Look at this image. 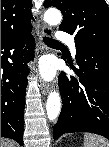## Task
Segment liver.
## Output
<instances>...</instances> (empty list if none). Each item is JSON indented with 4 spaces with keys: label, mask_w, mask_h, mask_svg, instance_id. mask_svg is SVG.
Returning <instances> with one entry per match:
<instances>
[{
    "label": "liver",
    "mask_w": 109,
    "mask_h": 147,
    "mask_svg": "<svg viewBox=\"0 0 109 147\" xmlns=\"http://www.w3.org/2000/svg\"><path fill=\"white\" fill-rule=\"evenodd\" d=\"M1 146L2 147H16V143L13 140L2 139Z\"/></svg>",
    "instance_id": "obj_1"
}]
</instances>
